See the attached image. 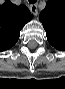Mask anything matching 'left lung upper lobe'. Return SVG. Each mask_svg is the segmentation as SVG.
Masks as SVG:
<instances>
[{
  "label": "left lung upper lobe",
  "instance_id": "obj_1",
  "mask_svg": "<svg viewBox=\"0 0 65 89\" xmlns=\"http://www.w3.org/2000/svg\"><path fill=\"white\" fill-rule=\"evenodd\" d=\"M39 20L49 43L58 50H65V0H48Z\"/></svg>",
  "mask_w": 65,
  "mask_h": 89
}]
</instances>
